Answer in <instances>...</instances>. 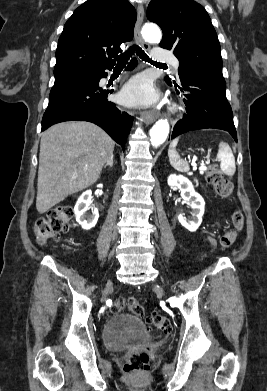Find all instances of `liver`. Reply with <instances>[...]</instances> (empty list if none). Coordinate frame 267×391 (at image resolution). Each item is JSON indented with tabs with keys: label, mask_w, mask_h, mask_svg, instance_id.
Returning a JSON list of instances; mask_svg holds the SVG:
<instances>
[{
	"label": "liver",
	"mask_w": 267,
	"mask_h": 391,
	"mask_svg": "<svg viewBox=\"0 0 267 391\" xmlns=\"http://www.w3.org/2000/svg\"><path fill=\"white\" fill-rule=\"evenodd\" d=\"M113 151V140L90 122H64L46 130L40 142L37 211L43 214L93 185Z\"/></svg>",
	"instance_id": "liver-1"
}]
</instances>
